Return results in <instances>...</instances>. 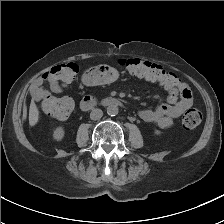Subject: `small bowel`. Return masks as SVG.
<instances>
[{
  "instance_id": "1",
  "label": "small bowel",
  "mask_w": 224,
  "mask_h": 224,
  "mask_svg": "<svg viewBox=\"0 0 224 224\" xmlns=\"http://www.w3.org/2000/svg\"><path fill=\"white\" fill-rule=\"evenodd\" d=\"M117 71L106 64H100L88 69L83 75V83L86 85L107 84L115 81ZM70 83V82H69ZM69 83L60 79L52 72V68L45 71L31 85V95L39 100L51 94H62ZM168 93V102L154 108L142 109L138 112L139 117L159 128L170 127L183 112L193 103L190 89L187 85L176 78L173 82L162 85Z\"/></svg>"
}]
</instances>
